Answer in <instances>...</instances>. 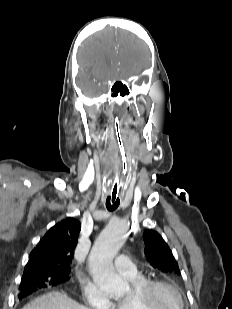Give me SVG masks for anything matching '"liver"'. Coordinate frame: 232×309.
Here are the masks:
<instances>
[{
  "instance_id": "6515ba94",
  "label": "liver",
  "mask_w": 232,
  "mask_h": 309,
  "mask_svg": "<svg viewBox=\"0 0 232 309\" xmlns=\"http://www.w3.org/2000/svg\"><path fill=\"white\" fill-rule=\"evenodd\" d=\"M22 309H88L66 293L53 291L35 298Z\"/></svg>"
}]
</instances>
